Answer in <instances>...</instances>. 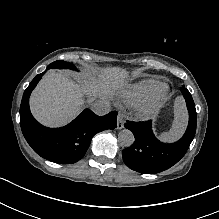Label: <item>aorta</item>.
I'll return each mask as SVG.
<instances>
[{
	"instance_id": "1",
	"label": "aorta",
	"mask_w": 219,
	"mask_h": 219,
	"mask_svg": "<svg viewBox=\"0 0 219 219\" xmlns=\"http://www.w3.org/2000/svg\"><path fill=\"white\" fill-rule=\"evenodd\" d=\"M135 141L133 133L128 129H123L118 134V142L124 147H130Z\"/></svg>"
}]
</instances>
